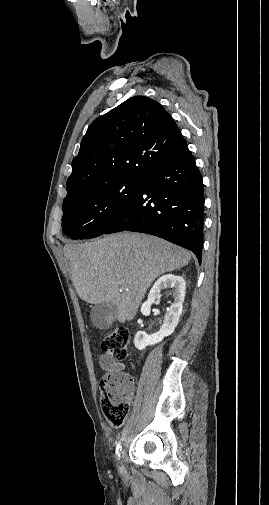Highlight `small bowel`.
<instances>
[{
  "mask_svg": "<svg viewBox=\"0 0 269 505\" xmlns=\"http://www.w3.org/2000/svg\"><path fill=\"white\" fill-rule=\"evenodd\" d=\"M100 364L108 375L120 373L124 368V365L121 362H118L109 356H102L100 358Z\"/></svg>",
  "mask_w": 269,
  "mask_h": 505,
  "instance_id": "1",
  "label": "small bowel"
}]
</instances>
